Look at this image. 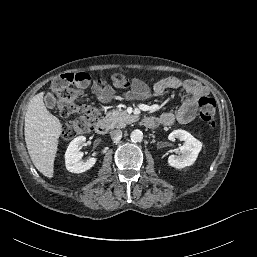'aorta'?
Here are the masks:
<instances>
[{"instance_id": "762f6f07", "label": "aorta", "mask_w": 257, "mask_h": 257, "mask_svg": "<svg viewBox=\"0 0 257 257\" xmlns=\"http://www.w3.org/2000/svg\"><path fill=\"white\" fill-rule=\"evenodd\" d=\"M130 138L132 142H141L143 139V133L140 130H133L130 134Z\"/></svg>"}]
</instances>
